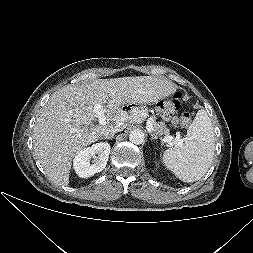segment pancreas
Here are the masks:
<instances>
[{
	"label": "pancreas",
	"instance_id": "1",
	"mask_svg": "<svg viewBox=\"0 0 253 253\" xmlns=\"http://www.w3.org/2000/svg\"><path fill=\"white\" fill-rule=\"evenodd\" d=\"M153 124V132L158 135V136H162V135H169V129L166 127L164 122H152Z\"/></svg>",
	"mask_w": 253,
	"mask_h": 253
}]
</instances>
